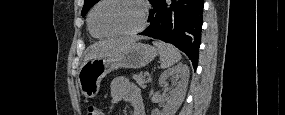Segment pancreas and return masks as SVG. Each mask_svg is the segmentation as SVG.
Masks as SVG:
<instances>
[{
    "label": "pancreas",
    "instance_id": "pancreas-1",
    "mask_svg": "<svg viewBox=\"0 0 285 115\" xmlns=\"http://www.w3.org/2000/svg\"><path fill=\"white\" fill-rule=\"evenodd\" d=\"M133 79L141 88H145L146 84L148 83V80L145 79L143 74H134Z\"/></svg>",
    "mask_w": 285,
    "mask_h": 115
}]
</instances>
